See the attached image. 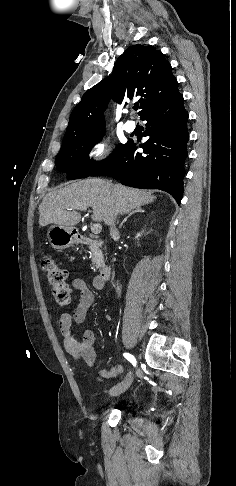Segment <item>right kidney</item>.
I'll list each match as a JSON object with an SVG mask.
<instances>
[{
    "instance_id": "right-kidney-1",
    "label": "right kidney",
    "mask_w": 236,
    "mask_h": 486,
    "mask_svg": "<svg viewBox=\"0 0 236 486\" xmlns=\"http://www.w3.org/2000/svg\"><path fill=\"white\" fill-rule=\"evenodd\" d=\"M140 236H141V234L139 233V234H137L136 238H138V237H140Z\"/></svg>"
}]
</instances>
